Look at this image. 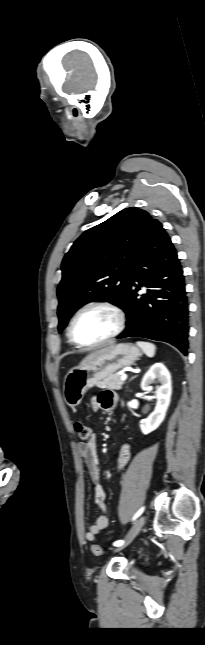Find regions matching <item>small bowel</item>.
Returning a JSON list of instances; mask_svg holds the SVG:
<instances>
[{
  "label": "small bowel",
  "instance_id": "obj_1",
  "mask_svg": "<svg viewBox=\"0 0 205 645\" xmlns=\"http://www.w3.org/2000/svg\"><path fill=\"white\" fill-rule=\"evenodd\" d=\"M118 402V397L112 391H104L92 399V408L94 411L102 409L111 411ZM77 452L84 460L90 479L94 484V504L104 513L97 517L95 522L85 532L87 541H94L96 536L109 526V516L106 507V493L101 485V469L97 456V439L94 434L89 441L77 444ZM131 450L129 445H124L119 453L118 469L122 471L129 462Z\"/></svg>",
  "mask_w": 205,
  "mask_h": 645
}]
</instances>
